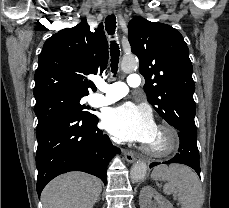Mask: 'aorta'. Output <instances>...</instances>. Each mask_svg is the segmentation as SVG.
<instances>
[{
	"label": "aorta",
	"instance_id": "762f6f07",
	"mask_svg": "<svg viewBox=\"0 0 229 208\" xmlns=\"http://www.w3.org/2000/svg\"><path fill=\"white\" fill-rule=\"evenodd\" d=\"M138 61L134 56L124 57L121 63V68L124 72H132L136 70ZM147 173V164L145 162L135 163L130 171V177L133 182H139L144 179Z\"/></svg>",
	"mask_w": 229,
	"mask_h": 208
}]
</instances>
